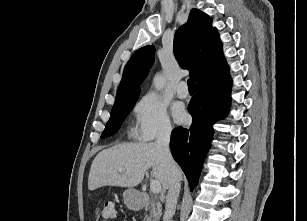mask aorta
I'll use <instances>...</instances> for the list:
<instances>
[{"label":"aorta","instance_id":"aorta-1","mask_svg":"<svg viewBox=\"0 0 307 221\" xmlns=\"http://www.w3.org/2000/svg\"><path fill=\"white\" fill-rule=\"evenodd\" d=\"M153 85L156 90L160 91L164 88L165 86V79L162 74H156L154 79H153Z\"/></svg>","mask_w":307,"mask_h":221}]
</instances>
